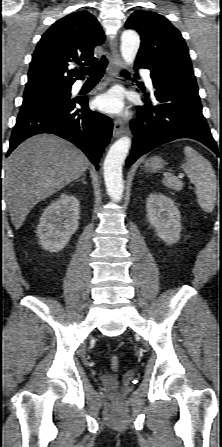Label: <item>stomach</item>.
Returning a JSON list of instances; mask_svg holds the SVG:
<instances>
[{"label": "stomach", "mask_w": 222, "mask_h": 447, "mask_svg": "<svg viewBox=\"0 0 222 447\" xmlns=\"http://www.w3.org/2000/svg\"><path fill=\"white\" fill-rule=\"evenodd\" d=\"M163 165L164 161L160 157H152L145 162L146 169L151 171L160 170Z\"/></svg>", "instance_id": "1"}]
</instances>
